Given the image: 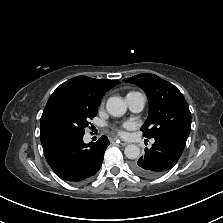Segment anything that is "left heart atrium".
I'll return each instance as SVG.
<instances>
[{
    "mask_svg": "<svg viewBox=\"0 0 223 223\" xmlns=\"http://www.w3.org/2000/svg\"><path fill=\"white\" fill-rule=\"evenodd\" d=\"M123 127L124 128H129L130 127V124L126 123V124L123 125ZM119 133L122 134V130H119Z\"/></svg>",
    "mask_w": 223,
    "mask_h": 223,
    "instance_id": "left-heart-atrium-1",
    "label": "left heart atrium"
}]
</instances>
